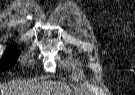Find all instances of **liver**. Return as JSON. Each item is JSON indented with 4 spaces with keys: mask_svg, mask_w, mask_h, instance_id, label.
<instances>
[{
    "mask_svg": "<svg viewBox=\"0 0 135 95\" xmlns=\"http://www.w3.org/2000/svg\"><path fill=\"white\" fill-rule=\"evenodd\" d=\"M72 95V91L64 84L48 81L34 84L22 80L0 83V95Z\"/></svg>",
    "mask_w": 135,
    "mask_h": 95,
    "instance_id": "1",
    "label": "liver"
}]
</instances>
